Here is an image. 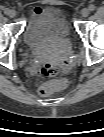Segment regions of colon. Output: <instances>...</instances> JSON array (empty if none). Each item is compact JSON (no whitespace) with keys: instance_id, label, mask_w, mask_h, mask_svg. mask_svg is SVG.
<instances>
[{"instance_id":"1","label":"colon","mask_w":104,"mask_h":137,"mask_svg":"<svg viewBox=\"0 0 104 137\" xmlns=\"http://www.w3.org/2000/svg\"><path fill=\"white\" fill-rule=\"evenodd\" d=\"M40 74L44 77H54L59 73V67L50 64H44L38 68ZM61 84L58 82H50L42 85L39 88V94L41 96H50L61 88Z\"/></svg>"}]
</instances>
